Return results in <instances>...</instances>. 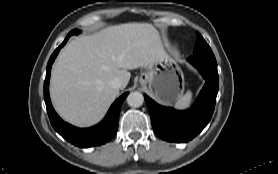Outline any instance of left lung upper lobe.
Returning a JSON list of instances; mask_svg holds the SVG:
<instances>
[{
  "mask_svg": "<svg viewBox=\"0 0 278 174\" xmlns=\"http://www.w3.org/2000/svg\"><path fill=\"white\" fill-rule=\"evenodd\" d=\"M193 57L202 59L217 66L216 59L211 48L199 33H197V41L193 51Z\"/></svg>",
  "mask_w": 278,
  "mask_h": 174,
  "instance_id": "5c2ea615",
  "label": "left lung upper lobe"
}]
</instances>
